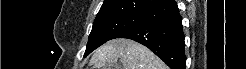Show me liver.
I'll use <instances>...</instances> for the list:
<instances>
[{"label":"liver","mask_w":246,"mask_h":69,"mask_svg":"<svg viewBox=\"0 0 246 69\" xmlns=\"http://www.w3.org/2000/svg\"><path fill=\"white\" fill-rule=\"evenodd\" d=\"M122 63V69H167V66L147 47L128 39H113L93 54L92 69H111Z\"/></svg>","instance_id":"obj_1"}]
</instances>
